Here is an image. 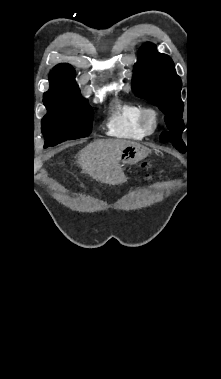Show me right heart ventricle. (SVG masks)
<instances>
[{"label": "right heart ventricle", "mask_w": 221, "mask_h": 379, "mask_svg": "<svg viewBox=\"0 0 221 379\" xmlns=\"http://www.w3.org/2000/svg\"><path fill=\"white\" fill-rule=\"evenodd\" d=\"M143 108L136 105L118 103L107 121V130L113 136L139 140L147 134L144 132L140 118Z\"/></svg>", "instance_id": "1"}]
</instances>
